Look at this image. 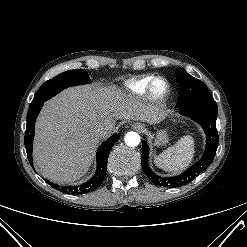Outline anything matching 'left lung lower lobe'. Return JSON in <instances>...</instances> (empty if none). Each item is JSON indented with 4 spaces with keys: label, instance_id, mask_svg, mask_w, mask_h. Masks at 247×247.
<instances>
[{
    "label": "left lung lower lobe",
    "instance_id": "0a47b994",
    "mask_svg": "<svg viewBox=\"0 0 247 247\" xmlns=\"http://www.w3.org/2000/svg\"><path fill=\"white\" fill-rule=\"evenodd\" d=\"M178 107L181 114L189 116L203 127L207 139L206 148L201 159L187 171L178 176L166 178L160 177L150 170L148 165L149 147L147 142L142 140V169L146 176L159 186L174 188L191 182L212 163L218 146V132L216 129L218 108L213 98L190 102Z\"/></svg>",
    "mask_w": 247,
    "mask_h": 247
}]
</instances>
